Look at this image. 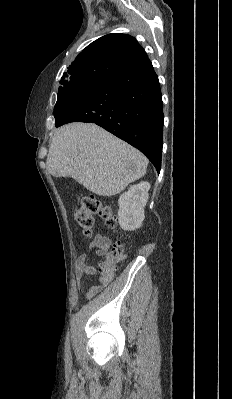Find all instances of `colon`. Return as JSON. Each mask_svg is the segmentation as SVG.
<instances>
[{"instance_id": "colon-1", "label": "colon", "mask_w": 232, "mask_h": 399, "mask_svg": "<svg viewBox=\"0 0 232 399\" xmlns=\"http://www.w3.org/2000/svg\"><path fill=\"white\" fill-rule=\"evenodd\" d=\"M81 208L84 210L74 209V226L78 227L79 221H81L80 227L83 236H90V231H95L93 219H98V214L94 213H100L102 219L106 218L108 229L117 227V210H114V204L107 203L105 209L103 208V200L88 198L87 202L81 201ZM111 249L108 250V255H112L108 258V265H105V268H101V270H96V283H92V290H96V292L107 290V284L113 283V262L114 271H119V258L117 257H120L121 260L129 257V250L122 247V244H111Z\"/></svg>"}]
</instances>
